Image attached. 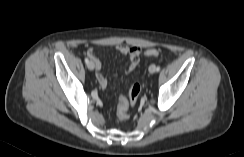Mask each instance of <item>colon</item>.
<instances>
[{
    "label": "colon",
    "mask_w": 244,
    "mask_h": 157,
    "mask_svg": "<svg viewBox=\"0 0 244 157\" xmlns=\"http://www.w3.org/2000/svg\"><path fill=\"white\" fill-rule=\"evenodd\" d=\"M159 53H160V51L157 50V49H154V48L148 49L146 51V55L149 56V57L158 56ZM140 92H141L140 84L139 83H134L131 86L130 90H129L128 98H126L124 96H121L118 99L117 118L120 121H124V120L128 119V117H129V114H128L129 107L133 106L136 103Z\"/></svg>",
    "instance_id": "1"
}]
</instances>
